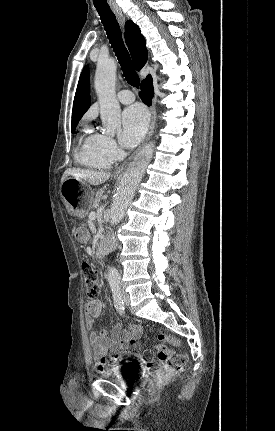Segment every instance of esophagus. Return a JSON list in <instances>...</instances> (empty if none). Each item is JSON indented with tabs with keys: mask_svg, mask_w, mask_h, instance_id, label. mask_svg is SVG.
<instances>
[{
	"mask_svg": "<svg viewBox=\"0 0 275 431\" xmlns=\"http://www.w3.org/2000/svg\"><path fill=\"white\" fill-rule=\"evenodd\" d=\"M113 11L115 13V15L117 16L119 22L121 23V25L123 26L125 23V16L123 14V12L121 11L120 8L116 7L113 8ZM155 124H156V108L155 106L152 104L150 106V125H149V130L147 133V136L144 140V142L142 143V145L127 159L125 160L115 171H114V175L118 176V175H122L125 171V169L127 168L129 162L135 157V155L137 154V152L149 141V139L151 138L154 128H155Z\"/></svg>",
	"mask_w": 275,
	"mask_h": 431,
	"instance_id": "34e87169",
	"label": "esophagus"
}]
</instances>
